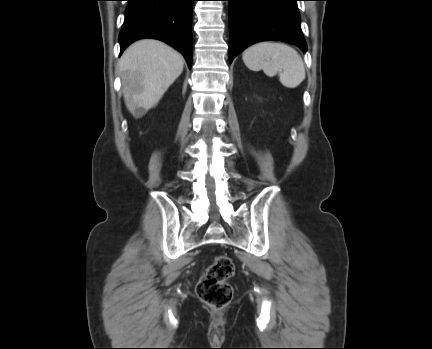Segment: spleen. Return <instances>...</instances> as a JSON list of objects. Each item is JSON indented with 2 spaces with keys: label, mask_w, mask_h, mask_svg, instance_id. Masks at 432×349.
<instances>
[{
  "label": "spleen",
  "mask_w": 432,
  "mask_h": 349,
  "mask_svg": "<svg viewBox=\"0 0 432 349\" xmlns=\"http://www.w3.org/2000/svg\"><path fill=\"white\" fill-rule=\"evenodd\" d=\"M242 59L252 71L263 70L269 77L278 74L281 84L287 88L297 87L306 77L301 56L284 43H257L243 52Z\"/></svg>",
  "instance_id": "1"
}]
</instances>
